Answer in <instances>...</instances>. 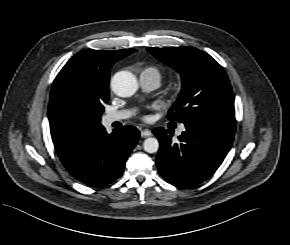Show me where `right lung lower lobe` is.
<instances>
[{"mask_svg": "<svg viewBox=\"0 0 290 245\" xmlns=\"http://www.w3.org/2000/svg\"><path fill=\"white\" fill-rule=\"evenodd\" d=\"M139 136V131L133 126L115 129L111 134H107L102 126L59 158L80 182L92 187L105 186L122 175Z\"/></svg>", "mask_w": 290, "mask_h": 245, "instance_id": "right-lung-lower-lobe-1", "label": "right lung lower lobe"}]
</instances>
